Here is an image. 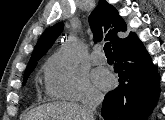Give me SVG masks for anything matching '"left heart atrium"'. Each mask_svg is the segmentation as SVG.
Returning <instances> with one entry per match:
<instances>
[{
	"instance_id": "obj_1",
	"label": "left heart atrium",
	"mask_w": 165,
	"mask_h": 120,
	"mask_svg": "<svg viewBox=\"0 0 165 120\" xmlns=\"http://www.w3.org/2000/svg\"><path fill=\"white\" fill-rule=\"evenodd\" d=\"M93 79L96 85L101 89H109L114 83L112 75L104 69L95 70Z\"/></svg>"
}]
</instances>
